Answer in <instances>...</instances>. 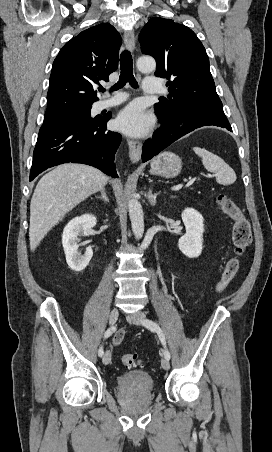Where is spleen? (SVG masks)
Segmentation results:
<instances>
[{
    "label": "spleen",
    "instance_id": "1",
    "mask_svg": "<svg viewBox=\"0 0 272 452\" xmlns=\"http://www.w3.org/2000/svg\"><path fill=\"white\" fill-rule=\"evenodd\" d=\"M194 152L202 159L206 170L216 174V181L222 185H230L236 181L234 170L219 156L200 147H194Z\"/></svg>",
    "mask_w": 272,
    "mask_h": 452
}]
</instances>
